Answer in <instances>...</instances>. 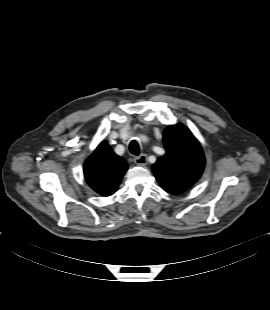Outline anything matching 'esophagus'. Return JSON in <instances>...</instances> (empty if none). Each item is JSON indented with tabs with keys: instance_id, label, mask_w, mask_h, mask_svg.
Wrapping results in <instances>:
<instances>
[{
	"instance_id": "34e87169",
	"label": "esophagus",
	"mask_w": 270,
	"mask_h": 310,
	"mask_svg": "<svg viewBox=\"0 0 270 310\" xmlns=\"http://www.w3.org/2000/svg\"><path fill=\"white\" fill-rule=\"evenodd\" d=\"M135 163L140 166H144L147 164V156L142 154L134 159Z\"/></svg>"
}]
</instances>
